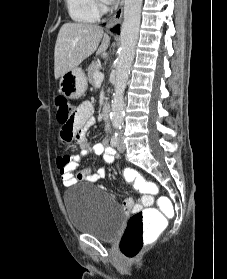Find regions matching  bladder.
<instances>
[{
  "label": "bladder",
  "instance_id": "obj_1",
  "mask_svg": "<svg viewBox=\"0 0 227 279\" xmlns=\"http://www.w3.org/2000/svg\"><path fill=\"white\" fill-rule=\"evenodd\" d=\"M63 205L71 225L101 241H112L124 224L120 204L106 194L96 195L83 184L63 195Z\"/></svg>",
  "mask_w": 227,
  "mask_h": 279
}]
</instances>
